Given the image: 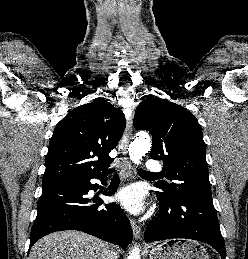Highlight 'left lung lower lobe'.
<instances>
[{
    "instance_id": "1",
    "label": "left lung lower lobe",
    "mask_w": 248,
    "mask_h": 259,
    "mask_svg": "<svg viewBox=\"0 0 248 259\" xmlns=\"http://www.w3.org/2000/svg\"><path fill=\"white\" fill-rule=\"evenodd\" d=\"M160 211L147 226L146 242L187 238L205 242L225 259V244L212 201L165 198L156 192Z\"/></svg>"
}]
</instances>
